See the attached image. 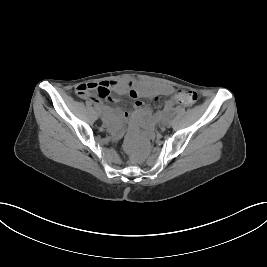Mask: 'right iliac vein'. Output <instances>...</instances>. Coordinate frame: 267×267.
Here are the masks:
<instances>
[{
	"label": "right iliac vein",
	"mask_w": 267,
	"mask_h": 267,
	"mask_svg": "<svg viewBox=\"0 0 267 267\" xmlns=\"http://www.w3.org/2000/svg\"><path fill=\"white\" fill-rule=\"evenodd\" d=\"M99 116H101V112L100 111H98V113H97Z\"/></svg>",
	"instance_id": "1"
}]
</instances>
